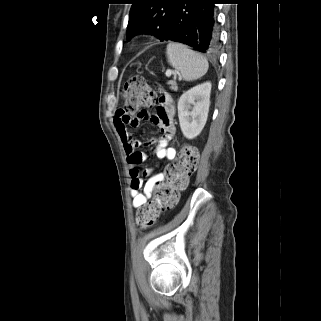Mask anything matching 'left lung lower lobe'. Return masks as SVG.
I'll return each instance as SVG.
<instances>
[{"mask_svg":"<svg viewBox=\"0 0 321 321\" xmlns=\"http://www.w3.org/2000/svg\"><path fill=\"white\" fill-rule=\"evenodd\" d=\"M219 0H178L162 41H174L212 54L218 47L214 4Z\"/></svg>","mask_w":321,"mask_h":321,"instance_id":"obj_1","label":"left lung lower lobe"}]
</instances>
